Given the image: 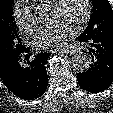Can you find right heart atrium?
<instances>
[{"label":"right heart atrium","instance_id":"obj_1","mask_svg":"<svg viewBox=\"0 0 113 113\" xmlns=\"http://www.w3.org/2000/svg\"><path fill=\"white\" fill-rule=\"evenodd\" d=\"M12 17L20 32L28 34L35 30V17L26 1L15 0L12 6Z\"/></svg>","mask_w":113,"mask_h":113}]
</instances>
